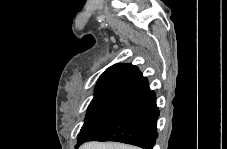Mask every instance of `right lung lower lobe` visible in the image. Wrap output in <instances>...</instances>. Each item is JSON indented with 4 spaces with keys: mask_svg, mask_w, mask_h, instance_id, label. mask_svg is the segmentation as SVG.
Here are the masks:
<instances>
[{
    "mask_svg": "<svg viewBox=\"0 0 227 149\" xmlns=\"http://www.w3.org/2000/svg\"><path fill=\"white\" fill-rule=\"evenodd\" d=\"M158 117L156 95L146 84L115 118L91 132L85 142L118 141L153 149Z\"/></svg>",
    "mask_w": 227,
    "mask_h": 149,
    "instance_id": "right-lung-lower-lobe-1",
    "label": "right lung lower lobe"
}]
</instances>
